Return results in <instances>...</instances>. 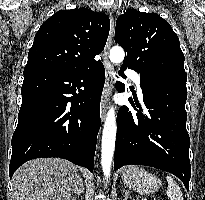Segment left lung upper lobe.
<instances>
[{
	"instance_id": "obj_1",
	"label": "left lung upper lobe",
	"mask_w": 205,
	"mask_h": 200,
	"mask_svg": "<svg viewBox=\"0 0 205 200\" xmlns=\"http://www.w3.org/2000/svg\"><path fill=\"white\" fill-rule=\"evenodd\" d=\"M115 42L125 50L121 68L140 75L184 70V54L172 27L159 15L129 9L116 21Z\"/></svg>"
}]
</instances>
